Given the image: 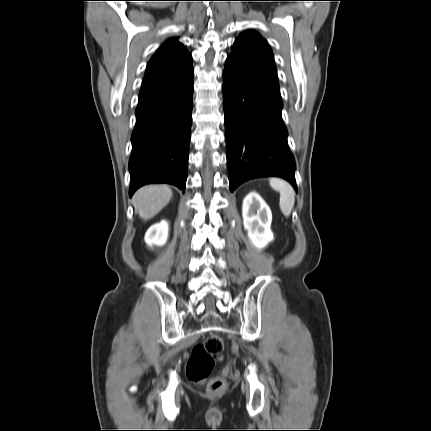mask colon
I'll return each instance as SVG.
<instances>
[{
	"instance_id": "1",
	"label": "colon",
	"mask_w": 431,
	"mask_h": 431,
	"mask_svg": "<svg viewBox=\"0 0 431 431\" xmlns=\"http://www.w3.org/2000/svg\"><path fill=\"white\" fill-rule=\"evenodd\" d=\"M224 349L222 338L217 334L209 335L202 343L197 344L190 355L186 367L188 378L198 384L207 382V391L210 394L220 393L225 381L221 377L209 379L215 360L221 355V359H225V354H221Z\"/></svg>"
}]
</instances>
